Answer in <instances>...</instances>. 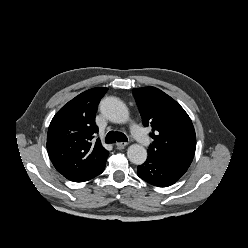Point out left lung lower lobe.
<instances>
[{
	"mask_svg": "<svg viewBox=\"0 0 248 248\" xmlns=\"http://www.w3.org/2000/svg\"><path fill=\"white\" fill-rule=\"evenodd\" d=\"M138 176L158 187H168L176 183L187 171V168L161 161L148 155L147 160L138 166Z\"/></svg>",
	"mask_w": 248,
	"mask_h": 248,
	"instance_id": "0a47b994",
	"label": "left lung lower lobe"
}]
</instances>
